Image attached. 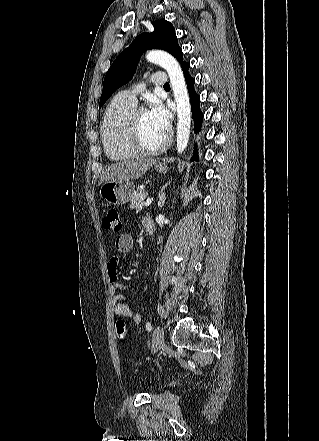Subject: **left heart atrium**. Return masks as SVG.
I'll list each match as a JSON object with an SVG mask.
<instances>
[{"instance_id": "left-heart-atrium-1", "label": "left heart atrium", "mask_w": 319, "mask_h": 441, "mask_svg": "<svg viewBox=\"0 0 319 441\" xmlns=\"http://www.w3.org/2000/svg\"><path fill=\"white\" fill-rule=\"evenodd\" d=\"M148 114L157 129L167 136L171 128V116L166 107L155 102Z\"/></svg>"}]
</instances>
